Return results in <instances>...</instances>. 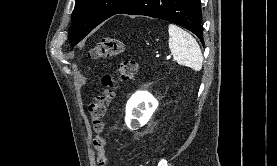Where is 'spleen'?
<instances>
[{"label":"spleen","instance_id":"3e777b00","mask_svg":"<svg viewBox=\"0 0 277 166\" xmlns=\"http://www.w3.org/2000/svg\"><path fill=\"white\" fill-rule=\"evenodd\" d=\"M169 48L174 60L183 66L200 71L203 63L201 49L192 35L182 28L169 24Z\"/></svg>","mask_w":277,"mask_h":166}]
</instances>
